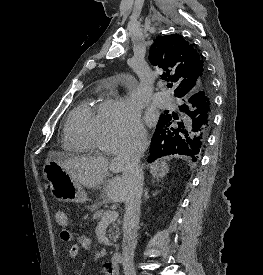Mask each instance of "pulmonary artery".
I'll use <instances>...</instances> for the list:
<instances>
[{"instance_id":"pulmonary-artery-1","label":"pulmonary artery","mask_w":263,"mask_h":275,"mask_svg":"<svg viewBox=\"0 0 263 275\" xmlns=\"http://www.w3.org/2000/svg\"><path fill=\"white\" fill-rule=\"evenodd\" d=\"M154 103L161 108H172L175 103L172 97L165 92L155 93L153 96Z\"/></svg>"}]
</instances>
